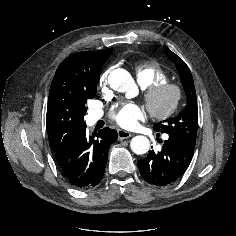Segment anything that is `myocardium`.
I'll use <instances>...</instances> for the list:
<instances>
[{
	"mask_svg": "<svg viewBox=\"0 0 236 236\" xmlns=\"http://www.w3.org/2000/svg\"><path fill=\"white\" fill-rule=\"evenodd\" d=\"M171 92L172 97L169 104L164 108H158L156 102L164 92ZM183 97L182 87L174 82H160L146 88L144 100L149 113L156 119H166L172 116L178 109Z\"/></svg>",
	"mask_w": 236,
	"mask_h": 236,
	"instance_id": "f54148a6",
	"label": "myocardium"
}]
</instances>
